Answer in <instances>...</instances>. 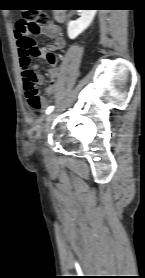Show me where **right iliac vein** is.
<instances>
[{
	"instance_id": "63e3f726",
	"label": "right iliac vein",
	"mask_w": 145,
	"mask_h": 278,
	"mask_svg": "<svg viewBox=\"0 0 145 278\" xmlns=\"http://www.w3.org/2000/svg\"><path fill=\"white\" fill-rule=\"evenodd\" d=\"M52 118H53V114H50V115L47 116L46 124H45L44 129H43L44 132H47Z\"/></svg>"
}]
</instances>
